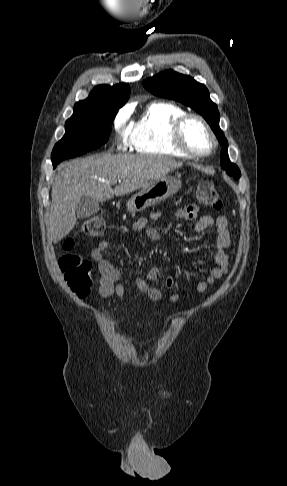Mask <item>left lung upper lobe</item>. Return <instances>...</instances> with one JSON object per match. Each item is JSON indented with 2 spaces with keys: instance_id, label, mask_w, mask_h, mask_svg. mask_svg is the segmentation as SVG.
Listing matches in <instances>:
<instances>
[{
  "instance_id": "5c2ea615",
  "label": "left lung upper lobe",
  "mask_w": 287,
  "mask_h": 486,
  "mask_svg": "<svg viewBox=\"0 0 287 486\" xmlns=\"http://www.w3.org/2000/svg\"><path fill=\"white\" fill-rule=\"evenodd\" d=\"M143 85L152 94L181 102L202 115L223 147L220 162L222 168L235 179L241 176L239 168L229 160L228 142L219 127L220 115L217 105L211 101L209 91L203 84L190 76L166 70L144 80Z\"/></svg>"
}]
</instances>
